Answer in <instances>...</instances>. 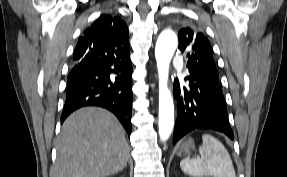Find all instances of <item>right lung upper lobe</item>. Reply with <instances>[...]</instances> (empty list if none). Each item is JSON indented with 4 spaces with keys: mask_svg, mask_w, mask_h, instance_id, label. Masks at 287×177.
<instances>
[{
    "mask_svg": "<svg viewBox=\"0 0 287 177\" xmlns=\"http://www.w3.org/2000/svg\"><path fill=\"white\" fill-rule=\"evenodd\" d=\"M122 37L129 38L126 23L118 16L102 15L84 31L83 36L78 40L73 60L77 62L84 58L90 43Z\"/></svg>",
    "mask_w": 287,
    "mask_h": 177,
    "instance_id": "cb5924a9",
    "label": "right lung upper lobe"
}]
</instances>
